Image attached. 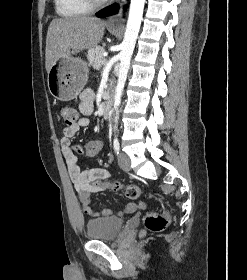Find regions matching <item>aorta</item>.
I'll return each instance as SVG.
<instances>
[{
  "instance_id": "obj_1",
  "label": "aorta",
  "mask_w": 247,
  "mask_h": 280,
  "mask_svg": "<svg viewBox=\"0 0 247 280\" xmlns=\"http://www.w3.org/2000/svg\"><path fill=\"white\" fill-rule=\"evenodd\" d=\"M145 0H131L129 17L127 21L124 40L122 42L120 52V69L118 73V81L114 96V110L116 111L115 123L118 122V107L121 102L123 88L126 82L127 74L130 67V60L136 44L139 33ZM114 128H117V126Z\"/></svg>"
}]
</instances>
